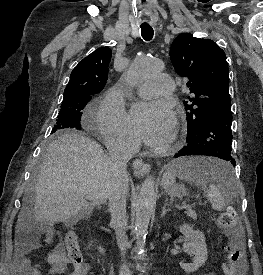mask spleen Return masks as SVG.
<instances>
[{
  "label": "spleen",
  "instance_id": "spleen-1",
  "mask_svg": "<svg viewBox=\"0 0 263 275\" xmlns=\"http://www.w3.org/2000/svg\"><path fill=\"white\" fill-rule=\"evenodd\" d=\"M169 167L180 180L202 188L213 210L221 211L226 198H232L238 193L240 184L229 162L217 158L190 157L178 159Z\"/></svg>",
  "mask_w": 263,
  "mask_h": 275
}]
</instances>
